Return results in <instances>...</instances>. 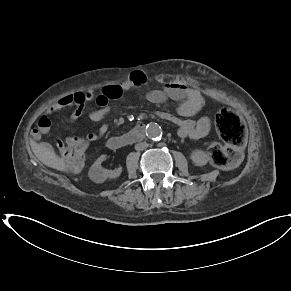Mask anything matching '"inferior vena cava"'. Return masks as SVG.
I'll list each match as a JSON object with an SVG mask.
<instances>
[{
	"instance_id": "602c4592",
	"label": "inferior vena cava",
	"mask_w": 291,
	"mask_h": 291,
	"mask_svg": "<svg viewBox=\"0 0 291 291\" xmlns=\"http://www.w3.org/2000/svg\"><path fill=\"white\" fill-rule=\"evenodd\" d=\"M147 147H148V143H146V142L137 143V144L135 145V149H136L137 151L145 150Z\"/></svg>"
}]
</instances>
